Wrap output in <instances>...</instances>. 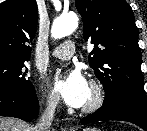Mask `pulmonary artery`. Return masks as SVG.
Instances as JSON below:
<instances>
[{
	"label": "pulmonary artery",
	"mask_w": 147,
	"mask_h": 131,
	"mask_svg": "<svg viewBox=\"0 0 147 131\" xmlns=\"http://www.w3.org/2000/svg\"><path fill=\"white\" fill-rule=\"evenodd\" d=\"M75 53V44L73 41H65L53 49L51 55L62 60L70 59Z\"/></svg>",
	"instance_id": "e3ab8cb5"
}]
</instances>
